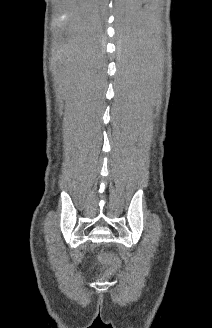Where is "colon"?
<instances>
[{"label": "colon", "mask_w": 212, "mask_h": 328, "mask_svg": "<svg viewBox=\"0 0 212 328\" xmlns=\"http://www.w3.org/2000/svg\"><path fill=\"white\" fill-rule=\"evenodd\" d=\"M99 260L102 263L107 264L112 272L119 270V268L121 267L120 260L113 255L102 253L99 255Z\"/></svg>", "instance_id": "5ec220e1"}]
</instances>
